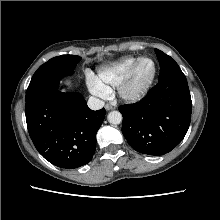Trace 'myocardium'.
<instances>
[{
	"label": "myocardium",
	"mask_w": 220,
	"mask_h": 220,
	"mask_svg": "<svg viewBox=\"0 0 220 220\" xmlns=\"http://www.w3.org/2000/svg\"><path fill=\"white\" fill-rule=\"evenodd\" d=\"M147 59L151 60L153 63V72L145 84H143L141 87L134 88L133 81H134L135 72L139 64L142 61L147 60ZM156 75H157V64L153 58L147 57V56L138 58L136 62L133 64V66L131 67L126 77L119 84V87H118L119 96L123 100L128 101V102H138L142 100L148 94L149 90L151 89L155 81Z\"/></svg>",
	"instance_id": "myocardium-1"
}]
</instances>
